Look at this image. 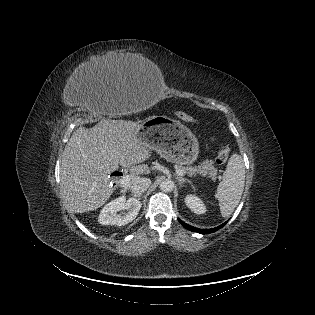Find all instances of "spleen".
<instances>
[{"instance_id": "1", "label": "spleen", "mask_w": 315, "mask_h": 315, "mask_svg": "<svg viewBox=\"0 0 315 315\" xmlns=\"http://www.w3.org/2000/svg\"><path fill=\"white\" fill-rule=\"evenodd\" d=\"M244 184L245 166L243 159L239 154L233 153L216 192L223 217H228L239 204Z\"/></svg>"}]
</instances>
